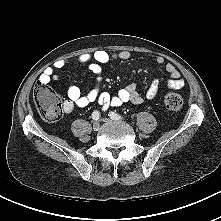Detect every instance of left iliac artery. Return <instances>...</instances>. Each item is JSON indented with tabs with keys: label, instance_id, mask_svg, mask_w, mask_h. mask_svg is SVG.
<instances>
[{
	"label": "left iliac artery",
	"instance_id": "obj_1",
	"mask_svg": "<svg viewBox=\"0 0 221 221\" xmlns=\"http://www.w3.org/2000/svg\"><path fill=\"white\" fill-rule=\"evenodd\" d=\"M109 116H110L112 119H114V120H121V119H123V117H122L121 115H119V114H117V113H114V112H110V113H109Z\"/></svg>",
	"mask_w": 221,
	"mask_h": 221
}]
</instances>
